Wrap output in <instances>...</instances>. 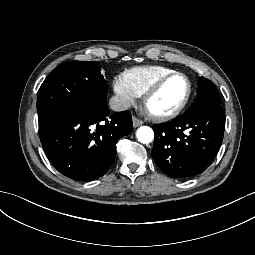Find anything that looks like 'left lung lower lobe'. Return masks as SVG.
Returning <instances> with one entry per match:
<instances>
[{"label":"left lung lower lobe","instance_id":"left-lung-lower-lobe-1","mask_svg":"<svg viewBox=\"0 0 255 255\" xmlns=\"http://www.w3.org/2000/svg\"><path fill=\"white\" fill-rule=\"evenodd\" d=\"M153 128L154 162L171 177L189 179L204 172L217 154L225 113L220 104L198 100L181 117Z\"/></svg>","mask_w":255,"mask_h":255}]
</instances>
